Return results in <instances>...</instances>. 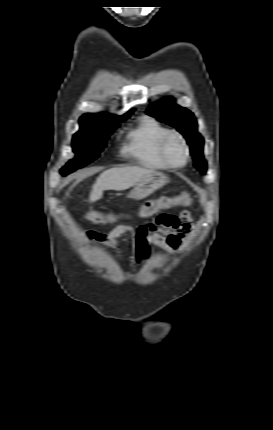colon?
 Here are the masks:
<instances>
[{
    "mask_svg": "<svg viewBox=\"0 0 273 430\" xmlns=\"http://www.w3.org/2000/svg\"><path fill=\"white\" fill-rule=\"evenodd\" d=\"M193 204V197L188 192H181L172 197H162L157 200H150L142 204L138 209L134 211V216L138 218H150L154 216L160 209L169 208L173 206H191ZM128 215L123 213H104L101 211H89L85 217L93 222L107 224L118 221ZM162 216V215H160Z\"/></svg>",
    "mask_w": 273,
    "mask_h": 430,
    "instance_id": "5ec220e1",
    "label": "colon"
}]
</instances>
